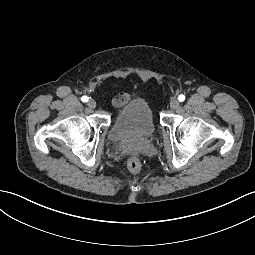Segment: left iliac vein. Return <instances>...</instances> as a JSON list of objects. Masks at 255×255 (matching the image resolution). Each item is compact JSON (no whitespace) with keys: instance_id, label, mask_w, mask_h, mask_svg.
<instances>
[{"instance_id":"left-iliac-vein-1","label":"left iliac vein","mask_w":255,"mask_h":255,"mask_svg":"<svg viewBox=\"0 0 255 255\" xmlns=\"http://www.w3.org/2000/svg\"><path fill=\"white\" fill-rule=\"evenodd\" d=\"M180 103L176 98L171 99L170 101V107L171 109H177L179 107Z\"/></svg>"}]
</instances>
